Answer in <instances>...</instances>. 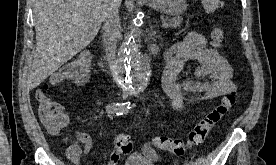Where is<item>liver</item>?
Instances as JSON below:
<instances>
[{"label": "liver", "mask_w": 276, "mask_h": 165, "mask_svg": "<svg viewBox=\"0 0 276 165\" xmlns=\"http://www.w3.org/2000/svg\"><path fill=\"white\" fill-rule=\"evenodd\" d=\"M105 5V0L35 1L37 43L27 81L30 89L90 44L103 22Z\"/></svg>", "instance_id": "1"}]
</instances>
